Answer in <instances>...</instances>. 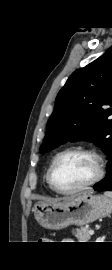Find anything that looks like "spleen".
Listing matches in <instances>:
<instances>
[{"label": "spleen", "mask_w": 112, "mask_h": 270, "mask_svg": "<svg viewBox=\"0 0 112 270\" xmlns=\"http://www.w3.org/2000/svg\"><path fill=\"white\" fill-rule=\"evenodd\" d=\"M104 195L110 199H112V192L111 191H107L104 193Z\"/></svg>", "instance_id": "spleen-1"}]
</instances>
